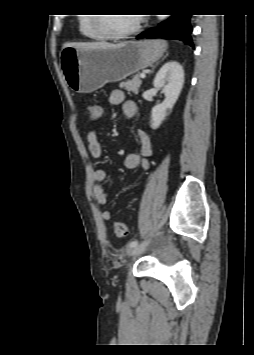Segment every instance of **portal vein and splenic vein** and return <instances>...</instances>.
Here are the masks:
<instances>
[{"mask_svg": "<svg viewBox=\"0 0 254 355\" xmlns=\"http://www.w3.org/2000/svg\"><path fill=\"white\" fill-rule=\"evenodd\" d=\"M140 77H141V78H145V73H142V74L140 75Z\"/></svg>", "mask_w": 254, "mask_h": 355, "instance_id": "18ae733b", "label": "portal vein and splenic vein"}]
</instances>
